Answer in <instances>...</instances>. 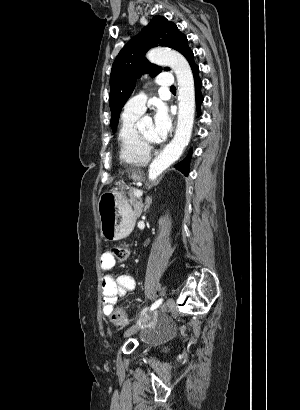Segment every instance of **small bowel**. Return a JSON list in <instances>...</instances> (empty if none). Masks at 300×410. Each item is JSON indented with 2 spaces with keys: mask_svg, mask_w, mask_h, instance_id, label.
<instances>
[{
  "mask_svg": "<svg viewBox=\"0 0 300 410\" xmlns=\"http://www.w3.org/2000/svg\"><path fill=\"white\" fill-rule=\"evenodd\" d=\"M113 255L106 251L100 256V266L103 271L101 280V290L103 295V313L109 315L112 308L119 299L126 293L135 289V278L128 273H121L116 277L112 274V269L115 266Z\"/></svg>",
  "mask_w": 300,
  "mask_h": 410,
  "instance_id": "1",
  "label": "small bowel"
}]
</instances>
